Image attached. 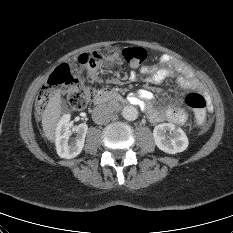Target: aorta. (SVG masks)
Here are the masks:
<instances>
[{
	"label": "aorta",
	"instance_id": "obj_1",
	"mask_svg": "<svg viewBox=\"0 0 233 233\" xmlns=\"http://www.w3.org/2000/svg\"><path fill=\"white\" fill-rule=\"evenodd\" d=\"M122 116L128 121H134L138 117V110L134 106H125L122 110Z\"/></svg>",
	"mask_w": 233,
	"mask_h": 233
}]
</instances>
